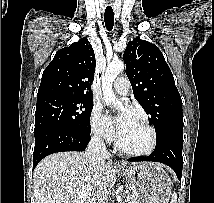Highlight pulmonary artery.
Masks as SVG:
<instances>
[{
  "label": "pulmonary artery",
  "mask_w": 214,
  "mask_h": 203,
  "mask_svg": "<svg viewBox=\"0 0 214 203\" xmlns=\"http://www.w3.org/2000/svg\"><path fill=\"white\" fill-rule=\"evenodd\" d=\"M129 87V81L126 77L121 76L114 81V89L120 95H127L129 92Z\"/></svg>",
  "instance_id": "1"
}]
</instances>
